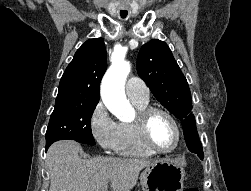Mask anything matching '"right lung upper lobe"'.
<instances>
[{
  "label": "right lung upper lobe",
  "mask_w": 251,
  "mask_h": 191,
  "mask_svg": "<svg viewBox=\"0 0 251 191\" xmlns=\"http://www.w3.org/2000/svg\"><path fill=\"white\" fill-rule=\"evenodd\" d=\"M107 68L102 38L87 40L75 53L60 80L55 107L98 103L100 82Z\"/></svg>",
  "instance_id": "1"
}]
</instances>
